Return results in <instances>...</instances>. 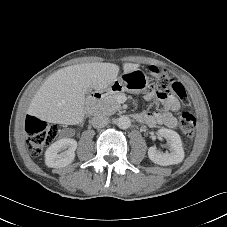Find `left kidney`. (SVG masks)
<instances>
[{
	"instance_id": "5707ae66",
	"label": "left kidney",
	"mask_w": 227,
	"mask_h": 227,
	"mask_svg": "<svg viewBox=\"0 0 227 227\" xmlns=\"http://www.w3.org/2000/svg\"><path fill=\"white\" fill-rule=\"evenodd\" d=\"M158 135L167 140L170 147V153H163L157 150L156 147H150L148 149L149 159L161 166H168L182 162L184 159V150L179 134L173 130L161 128L158 130Z\"/></svg>"
}]
</instances>
